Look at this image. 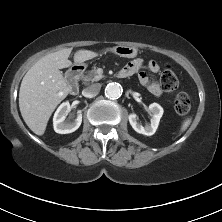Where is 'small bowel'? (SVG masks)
<instances>
[{
	"instance_id": "obj_1",
	"label": "small bowel",
	"mask_w": 222,
	"mask_h": 222,
	"mask_svg": "<svg viewBox=\"0 0 222 222\" xmlns=\"http://www.w3.org/2000/svg\"><path fill=\"white\" fill-rule=\"evenodd\" d=\"M142 66H143V60L137 58L126 64L121 71L127 73L128 76L138 74L140 83L144 85L149 90L150 93L156 96L161 95L162 89L160 84L156 80L151 79L146 72L141 71ZM147 69L151 73H157L159 71V65L157 62L152 60L148 62Z\"/></svg>"
}]
</instances>
